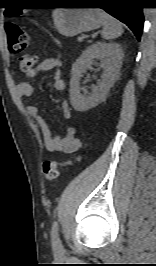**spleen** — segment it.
Masks as SVG:
<instances>
[{
	"label": "spleen",
	"instance_id": "spleen-1",
	"mask_svg": "<svg viewBox=\"0 0 156 266\" xmlns=\"http://www.w3.org/2000/svg\"><path fill=\"white\" fill-rule=\"evenodd\" d=\"M100 16L103 21V39L112 40L122 35L123 28L119 21H117L114 17L102 10L100 11Z\"/></svg>",
	"mask_w": 156,
	"mask_h": 266
}]
</instances>
